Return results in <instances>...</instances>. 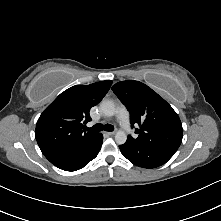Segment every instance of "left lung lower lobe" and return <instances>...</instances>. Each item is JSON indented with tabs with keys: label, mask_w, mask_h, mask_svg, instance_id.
Instances as JSON below:
<instances>
[{
	"label": "left lung lower lobe",
	"mask_w": 221,
	"mask_h": 221,
	"mask_svg": "<svg viewBox=\"0 0 221 221\" xmlns=\"http://www.w3.org/2000/svg\"><path fill=\"white\" fill-rule=\"evenodd\" d=\"M121 153L133 164L143 168H156L166 163L173 155L174 151L146 147L127 140L119 146Z\"/></svg>",
	"instance_id": "1"
}]
</instances>
